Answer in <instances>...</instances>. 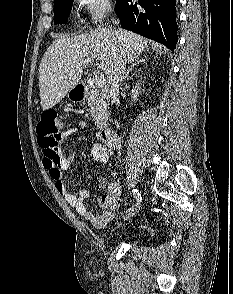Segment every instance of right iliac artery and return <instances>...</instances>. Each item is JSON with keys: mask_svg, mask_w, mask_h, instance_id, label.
Here are the masks:
<instances>
[{"mask_svg": "<svg viewBox=\"0 0 233 294\" xmlns=\"http://www.w3.org/2000/svg\"><path fill=\"white\" fill-rule=\"evenodd\" d=\"M132 193H133V195H134V197H135V199L137 201V205L136 206L140 205V202L142 200L141 194L138 192L137 189H133L132 190Z\"/></svg>", "mask_w": 233, "mask_h": 294, "instance_id": "obj_1", "label": "right iliac artery"}]
</instances>
